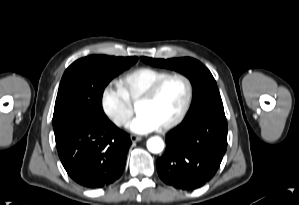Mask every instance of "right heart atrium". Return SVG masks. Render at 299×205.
Listing matches in <instances>:
<instances>
[{"label": "right heart atrium", "mask_w": 299, "mask_h": 205, "mask_svg": "<svg viewBox=\"0 0 299 205\" xmlns=\"http://www.w3.org/2000/svg\"><path fill=\"white\" fill-rule=\"evenodd\" d=\"M100 105L103 113L117 127L125 126L133 114V108L118 85L108 83L101 92Z\"/></svg>", "instance_id": "1"}]
</instances>
